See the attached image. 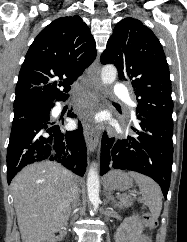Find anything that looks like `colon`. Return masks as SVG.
Returning a JSON list of instances; mask_svg holds the SVG:
<instances>
[{
    "instance_id": "obj_1",
    "label": "colon",
    "mask_w": 187,
    "mask_h": 242,
    "mask_svg": "<svg viewBox=\"0 0 187 242\" xmlns=\"http://www.w3.org/2000/svg\"><path fill=\"white\" fill-rule=\"evenodd\" d=\"M142 220L149 230H153L157 227V219L150 213H145L142 216ZM140 242H151L148 237H142Z\"/></svg>"
}]
</instances>
